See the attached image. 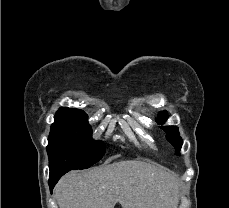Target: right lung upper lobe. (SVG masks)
Wrapping results in <instances>:
<instances>
[{
	"instance_id": "cb5924a9",
	"label": "right lung upper lobe",
	"mask_w": 229,
	"mask_h": 208,
	"mask_svg": "<svg viewBox=\"0 0 229 208\" xmlns=\"http://www.w3.org/2000/svg\"><path fill=\"white\" fill-rule=\"evenodd\" d=\"M57 113L59 114H67V115H74V116H79V117H86L88 118L87 114L80 110V109H76V108H66V107H62L60 108Z\"/></svg>"
}]
</instances>
